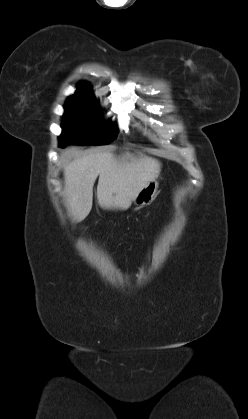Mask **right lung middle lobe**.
Returning <instances> with one entry per match:
<instances>
[{
  "mask_svg": "<svg viewBox=\"0 0 248 419\" xmlns=\"http://www.w3.org/2000/svg\"><path fill=\"white\" fill-rule=\"evenodd\" d=\"M64 108L61 147L68 143L106 145L116 137L117 128L102 121L96 101L69 97Z\"/></svg>",
  "mask_w": 248,
  "mask_h": 419,
  "instance_id": "1",
  "label": "right lung middle lobe"
}]
</instances>
